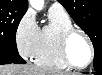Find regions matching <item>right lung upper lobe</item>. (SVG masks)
Wrapping results in <instances>:
<instances>
[{"mask_svg": "<svg viewBox=\"0 0 102 75\" xmlns=\"http://www.w3.org/2000/svg\"><path fill=\"white\" fill-rule=\"evenodd\" d=\"M27 7V0H0V9L4 8L17 11H26Z\"/></svg>", "mask_w": 102, "mask_h": 75, "instance_id": "1", "label": "right lung upper lobe"}]
</instances>
